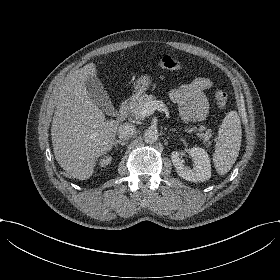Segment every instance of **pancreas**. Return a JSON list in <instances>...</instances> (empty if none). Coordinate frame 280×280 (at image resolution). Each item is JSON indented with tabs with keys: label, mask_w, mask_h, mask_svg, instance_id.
Wrapping results in <instances>:
<instances>
[{
	"label": "pancreas",
	"mask_w": 280,
	"mask_h": 280,
	"mask_svg": "<svg viewBox=\"0 0 280 280\" xmlns=\"http://www.w3.org/2000/svg\"><path fill=\"white\" fill-rule=\"evenodd\" d=\"M152 100H153V97L148 94L137 96L135 101H133L131 104H129L127 106V109L129 110V113L132 115L133 118L142 119L143 118L142 109H143L144 105ZM192 131L193 130H190V132H192ZM199 131L203 132V131H205V128L200 127ZM200 136H202V134H200ZM212 136H213V133L209 129H207L206 132L204 133L205 143H211Z\"/></svg>",
	"instance_id": "obj_1"
}]
</instances>
